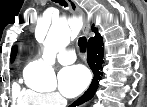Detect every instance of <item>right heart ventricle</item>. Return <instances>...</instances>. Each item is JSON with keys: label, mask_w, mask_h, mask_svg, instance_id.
Masks as SVG:
<instances>
[{"label": "right heart ventricle", "mask_w": 147, "mask_h": 107, "mask_svg": "<svg viewBox=\"0 0 147 107\" xmlns=\"http://www.w3.org/2000/svg\"><path fill=\"white\" fill-rule=\"evenodd\" d=\"M12 99L15 107H31L40 105V94L27 88H23L19 83L12 86Z\"/></svg>", "instance_id": "e07e8e85"}]
</instances>
